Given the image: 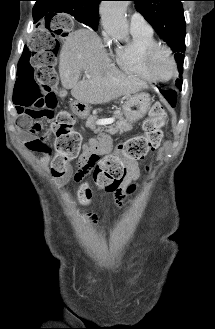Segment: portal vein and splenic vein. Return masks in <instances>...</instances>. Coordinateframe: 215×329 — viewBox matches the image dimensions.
Returning a JSON list of instances; mask_svg holds the SVG:
<instances>
[{
	"label": "portal vein and splenic vein",
	"mask_w": 215,
	"mask_h": 329,
	"mask_svg": "<svg viewBox=\"0 0 215 329\" xmlns=\"http://www.w3.org/2000/svg\"><path fill=\"white\" fill-rule=\"evenodd\" d=\"M85 75H87V73L85 72ZM114 122V118H108V119H99L96 121L97 125H107V124H111Z\"/></svg>",
	"instance_id": "obj_1"
}]
</instances>
